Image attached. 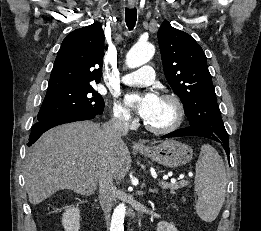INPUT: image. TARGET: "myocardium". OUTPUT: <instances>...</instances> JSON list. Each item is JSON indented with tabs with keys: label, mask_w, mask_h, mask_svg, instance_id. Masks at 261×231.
Instances as JSON below:
<instances>
[{
	"label": "myocardium",
	"mask_w": 261,
	"mask_h": 231,
	"mask_svg": "<svg viewBox=\"0 0 261 231\" xmlns=\"http://www.w3.org/2000/svg\"><path fill=\"white\" fill-rule=\"evenodd\" d=\"M160 99L169 101L174 106V109H175L174 121L169 126L162 127V128L152 126L147 121L144 122V126L148 131L155 133V134H160V135L170 134V133H173L174 131L178 130L181 127V125L183 124V121L185 118V108H184V105H183L181 99L174 94H169V93L162 94L160 96Z\"/></svg>",
	"instance_id": "obj_1"
}]
</instances>
